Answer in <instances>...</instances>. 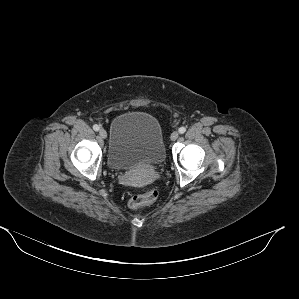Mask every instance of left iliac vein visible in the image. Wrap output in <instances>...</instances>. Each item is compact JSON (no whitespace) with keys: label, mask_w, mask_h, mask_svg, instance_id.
Returning a JSON list of instances; mask_svg holds the SVG:
<instances>
[{"label":"left iliac vein","mask_w":299,"mask_h":299,"mask_svg":"<svg viewBox=\"0 0 299 299\" xmlns=\"http://www.w3.org/2000/svg\"><path fill=\"white\" fill-rule=\"evenodd\" d=\"M178 136H179L178 132L175 131L171 134L170 138L172 141H175L178 138Z\"/></svg>","instance_id":"4c4485c4"}]
</instances>
